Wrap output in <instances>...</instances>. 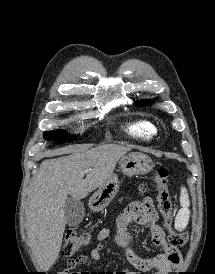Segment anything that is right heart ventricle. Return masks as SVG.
<instances>
[{"label":"right heart ventricle","mask_w":215,"mask_h":274,"mask_svg":"<svg viewBox=\"0 0 215 274\" xmlns=\"http://www.w3.org/2000/svg\"><path fill=\"white\" fill-rule=\"evenodd\" d=\"M120 128L128 137L141 141L151 140L155 133L152 123L144 119L128 120Z\"/></svg>","instance_id":"e07e8e85"}]
</instances>
